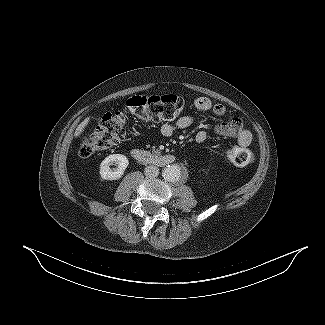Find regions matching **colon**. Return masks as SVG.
<instances>
[{
    "instance_id": "obj_1",
    "label": "colon",
    "mask_w": 325,
    "mask_h": 325,
    "mask_svg": "<svg viewBox=\"0 0 325 325\" xmlns=\"http://www.w3.org/2000/svg\"><path fill=\"white\" fill-rule=\"evenodd\" d=\"M185 105L182 97L173 94L133 96L127 100L124 110L107 112L102 116L96 129L83 137L79 154L89 157L119 144L126 135L127 112L148 123H161L175 120ZM226 156L237 166H245L252 160L250 150L241 146L227 150Z\"/></svg>"
}]
</instances>
